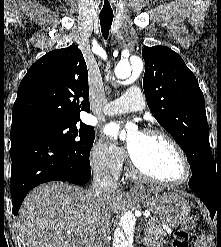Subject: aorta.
Segmentation results:
<instances>
[{
	"mask_svg": "<svg viewBox=\"0 0 221 247\" xmlns=\"http://www.w3.org/2000/svg\"><path fill=\"white\" fill-rule=\"evenodd\" d=\"M143 68V63L139 58L132 57L129 60L121 61L114 70L115 76L118 80L128 79L130 76L133 78L137 77ZM128 128H132L133 124L128 123ZM126 133L121 132L120 138L124 139ZM113 247H132V243L126 230L123 226H119L114 231Z\"/></svg>",
	"mask_w": 221,
	"mask_h": 247,
	"instance_id": "obj_1",
	"label": "aorta"
}]
</instances>
